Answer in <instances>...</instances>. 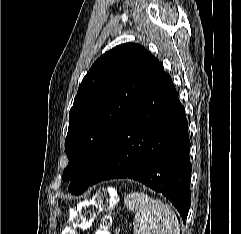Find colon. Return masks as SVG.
<instances>
[{"label": "colon", "instance_id": "5ec220e1", "mask_svg": "<svg viewBox=\"0 0 241 234\" xmlns=\"http://www.w3.org/2000/svg\"><path fill=\"white\" fill-rule=\"evenodd\" d=\"M115 205L116 196L113 193L107 189L98 191L90 201L82 203L69 212L61 234H79V229L90 227L99 214L111 211ZM111 222V217L105 215L95 234H109Z\"/></svg>", "mask_w": 241, "mask_h": 234}]
</instances>
